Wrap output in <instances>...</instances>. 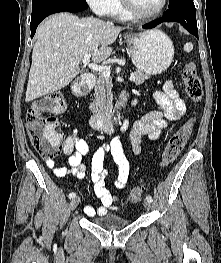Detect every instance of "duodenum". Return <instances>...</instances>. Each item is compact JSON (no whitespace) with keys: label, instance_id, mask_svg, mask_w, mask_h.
<instances>
[{"label":"duodenum","instance_id":"1","mask_svg":"<svg viewBox=\"0 0 221 263\" xmlns=\"http://www.w3.org/2000/svg\"><path fill=\"white\" fill-rule=\"evenodd\" d=\"M94 84H95V75L93 73H84L81 81L75 87V92L79 93L88 90L92 88ZM126 100H127L126 96L123 95L121 97L119 106L124 107L126 104ZM91 125L94 129L99 131H103L107 133L114 132V126L111 117L98 111H95L91 114Z\"/></svg>","mask_w":221,"mask_h":263}]
</instances>
